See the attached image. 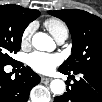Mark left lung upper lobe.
<instances>
[{
  "instance_id": "obj_1",
  "label": "left lung upper lobe",
  "mask_w": 102,
  "mask_h": 102,
  "mask_svg": "<svg viewBox=\"0 0 102 102\" xmlns=\"http://www.w3.org/2000/svg\"><path fill=\"white\" fill-rule=\"evenodd\" d=\"M48 13L63 20L72 35V54L58 70H102V20L83 10L64 9Z\"/></svg>"
}]
</instances>
